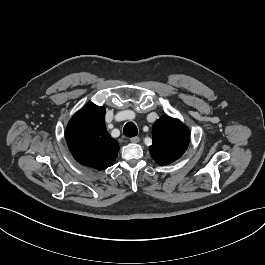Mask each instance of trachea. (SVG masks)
<instances>
[{
	"label": "trachea",
	"mask_w": 265,
	"mask_h": 265,
	"mask_svg": "<svg viewBox=\"0 0 265 265\" xmlns=\"http://www.w3.org/2000/svg\"><path fill=\"white\" fill-rule=\"evenodd\" d=\"M123 133L127 137H135L138 134V129L133 122H128L124 126Z\"/></svg>",
	"instance_id": "trachea-1"
}]
</instances>
